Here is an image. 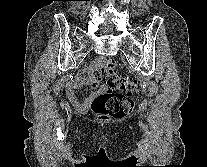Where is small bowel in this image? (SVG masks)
<instances>
[{
    "label": "small bowel",
    "mask_w": 207,
    "mask_h": 167,
    "mask_svg": "<svg viewBox=\"0 0 207 167\" xmlns=\"http://www.w3.org/2000/svg\"><path fill=\"white\" fill-rule=\"evenodd\" d=\"M83 85H88L93 89L98 88L97 82L91 77L89 72H83L78 75L67 88L68 99L79 112H86L94 99V95H90L84 101L79 100L76 95V91Z\"/></svg>",
    "instance_id": "obj_1"
}]
</instances>
